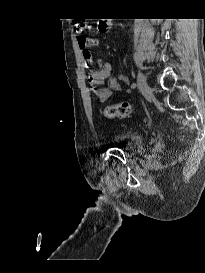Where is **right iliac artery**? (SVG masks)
Wrapping results in <instances>:
<instances>
[{
    "instance_id": "right-iliac-artery-1",
    "label": "right iliac artery",
    "mask_w": 205,
    "mask_h": 273,
    "mask_svg": "<svg viewBox=\"0 0 205 273\" xmlns=\"http://www.w3.org/2000/svg\"><path fill=\"white\" fill-rule=\"evenodd\" d=\"M136 87V84L135 83H133L132 85H131V88H135Z\"/></svg>"
}]
</instances>
